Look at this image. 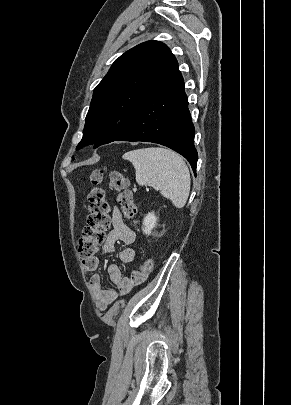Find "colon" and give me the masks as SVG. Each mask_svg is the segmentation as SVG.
Listing matches in <instances>:
<instances>
[{
    "label": "colon",
    "instance_id": "5ec220e1",
    "mask_svg": "<svg viewBox=\"0 0 291 405\" xmlns=\"http://www.w3.org/2000/svg\"><path fill=\"white\" fill-rule=\"evenodd\" d=\"M104 171L97 169L90 174L91 190L88 195L89 215L87 226L83 229L78 243V252L82 260H88L97 253L99 246L105 239V231L110 225V206L106 198V191L101 186ZM109 186L117 192V200L124 216L131 220L136 215V206L132 194L128 189L126 176L119 171L109 174ZM154 267V260L146 259L138 265L137 272L141 277L147 276Z\"/></svg>",
    "mask_w": 291,
    "mask_h": 405
}]
</instances>
